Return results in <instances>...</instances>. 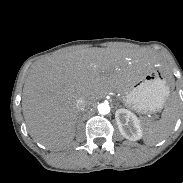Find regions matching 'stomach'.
<instances>
[{"instance_id":"0dacf381","label":"stomach","mask_w":183,"mask_h":183,"mask_svg":"<svg viewBox=\"0 0 183 183\" xmlns=\"http://www.w3.org/2000/svg\"><path fill=\"white\" fill-rule=\"evenodd\" d=\"M169 95V84L153 65L143 69L122 92L124 103L140 113L162 109Z\"/></svg>"}]
</instances>
